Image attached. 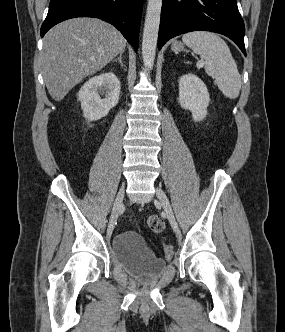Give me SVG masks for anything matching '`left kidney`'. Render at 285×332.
<instances>
[{
    "instance_id": "obj_1",
    "label": "left kidney",
    "mask_w": 285,
    "mask_h": 332,
    "mask_svg": "<svg viewBox=\"0 0 285 332\" xmlns=\"http://www.w3.org/2000/svg\"><path fill=\"white\" fill-rule=\"evenodd\" d=\"M179 103L181 108L190 110L195 121H202L207 115L210 96L204 82L192 73L179 79Z\"/></svg>"
}]
</instances>
